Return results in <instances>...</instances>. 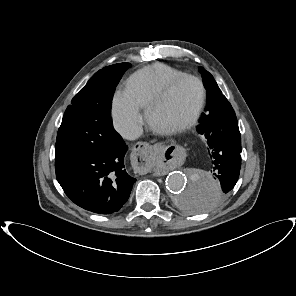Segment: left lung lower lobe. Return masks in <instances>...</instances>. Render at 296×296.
Masks as SVG:
<instances>
[{"label":"left lung lower lobe","instance_id":"1","mask_svg":"<svg viewBox=\"0 0 296 296\" xmlns=\"http://www.w3.org/2000/svg\"><path fill=\"white\" fill-rule=\"evenodd\" d=\"M197 131L206 143L211 172L221 187L200 188L194 184L186 197L185 208L199 212L223 199L235 186L241 167V136L235 112L226 97L202 113Z\"/></svg>","mask_w":296,"mask_h":296}]
</instances>
